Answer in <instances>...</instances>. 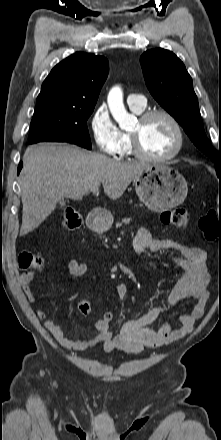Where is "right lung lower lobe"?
<instances>
[{"label":"right lung lower lobe","mask_w":221,"mask_h":440,"mask_svg":"<svg viewBox=\"0 0 221 440\" xmlns=\"http://www.w3.org/2000/svg\"><path fill=\"white\" fill-rule=\"evenodd\" d=\"M22 167H23V164H22V162H20L19 165H18V174L20 173Z\"/></svg>","instance_id":"98d812e1"}]
</instances>
